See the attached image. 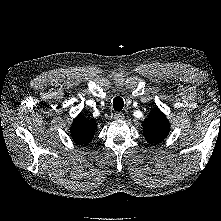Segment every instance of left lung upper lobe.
<instances>
[{"mask_svg": "<svg viewBox=\"0 0 221 221\" xmlns=\"http://www.w3.org/2000/svg\"><path fill=\"white\" fill-rule=\"evenodd\" d=\"M143 131L149 143H159L167 137L170 123L159 108L155 107L144 122Z\"/></svg>", "mask_w": 221, "mask_h": 221, "instance_id": "5c2ea615", "label": "left lung upper lobe"}]
</instances>
